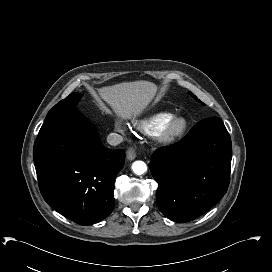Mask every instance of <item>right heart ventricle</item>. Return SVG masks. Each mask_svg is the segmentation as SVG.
Wrapping results in <instances>:
<instances>
[{"label":"right heart ventricle","instance_id":"e07e8e85","mask_svg":"<svg viewBox=\"0 0 272 272\" xmlns=\"http://www.w3.org/2000/svg\"><path fill=\"white\" fill-rule=\"evenodd\" d=\"M171 113H160L146 121L141 122L138 127L148 135H154L160 132L165 125L173 118Z\"/></svg>","mask_w":272,"mask_h":272}]
</instances>
